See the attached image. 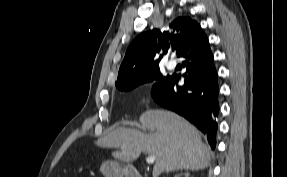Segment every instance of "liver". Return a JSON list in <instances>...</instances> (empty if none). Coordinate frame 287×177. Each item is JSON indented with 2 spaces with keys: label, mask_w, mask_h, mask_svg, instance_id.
<instances>
[{
  "label": "liver",
  "mask_w": 287,
  "mask_h": 177,
  "mask_svg": "<svg viewBox=\"0 0 287 177\" xmlns=\"http://www.w3.org/2000/svg\"><path fill=\"white\" fill-rule=\"evenodd\" d=\"M140 129L119 127L98 140L104 148H120L112 156L122 162H133L141 153L156 156L153 176L176 170L205 169L210 150L199 131L179 115L164 110H149L140 117Z\"/></svg>",
  "instance_id": "6515ba94"
}]
</instances>
